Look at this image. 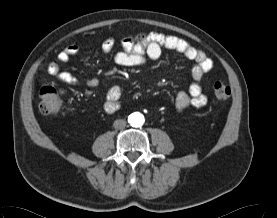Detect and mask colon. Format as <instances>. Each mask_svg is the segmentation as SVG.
Here are the masks:
<instances>
[{
  "label": "colon",
  "instance_id": "colon-1",
  "mask_svg": "<svg viewBox=\"0 0 277 218\" xmlns=\"http://www.w3.org/2000/svg\"><path fill=\"white\" fill-rule=\"evenodd\" d=\"M216 96L221 100H228L231 96V87L223 82H216L214 84ZM41 101L39 109L41 113L54 115L60 110V99L55 88L45 86L40 91Z\"/></svg>",
  "mask_w": 277,
  "mask_h": 218
}]
</instances>
